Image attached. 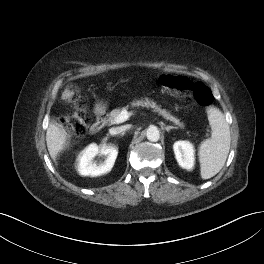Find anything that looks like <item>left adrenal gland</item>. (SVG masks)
Instances as JSON below:
<instances>
[{"label": "left adrenal gland", "mask_w": 264, "mask_h": 264, "mask_svg": "<svg viewBox=\"0 0 264 264\" xmlns=\"http://www.w3.org/2000/svg\"><path fill=\"white\" fill-rule=\"evenodd\" d=\"M165 130L169 132L171 129H177L175 126H164Z\"/></svg>", "instance_id": "a2214340"}]
</instances>
